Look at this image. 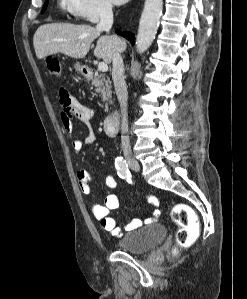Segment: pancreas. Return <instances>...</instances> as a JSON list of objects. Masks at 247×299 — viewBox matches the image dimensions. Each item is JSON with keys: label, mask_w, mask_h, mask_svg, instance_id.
<instances>
[{"label": "pancreas", "mask_w": 247, "mask_h": 299, "mask_svg": "<svg viewBox=\"0 0 247 299\" xmlns=\"http://www.w3.org/2000/svg\"><path fill=\"white\" fill-rule=\"evenodd\" d=\"M91 85L95 87V91L102 98V101H105V110L107 111L108 102H111L112 97V86L109 78H105L102 74H97L94 76Z\"/></svg>", "instance_id": "obj_1"}]
</instances>
